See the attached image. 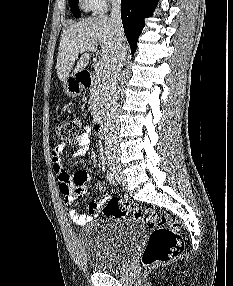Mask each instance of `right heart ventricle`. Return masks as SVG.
<instances>
[{
  "mask_svg": "<svg viewBox=\"0 0 233 286\" xmlns=\"http://www.w3.org/2000/svg\"><path fill=\"white\" fill-rule=\"evenodd\" d=\"M80 3L82 7L87 11L94 9L91 0H80Z\"/></svg>",
  "mask_w": 233,
  "mask_h": 286,
  "instance_id": "e07e8e85",
  "label": "right heart ventricle"
}]
</instances>
